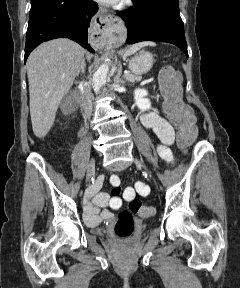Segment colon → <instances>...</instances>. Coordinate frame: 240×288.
Wrapping results in <instances>:
<instances>
[{
  "label": "colon",
  "instance_id": "colon-1",
  "mask_svg": "<svg viewBox=\"0 0 240 288\" xmlns=\"http://www.w3.org/2000/svg\"><path fill=\"white\" fill-rule=\"evenodd\" d=\"M181 77L172 67H164L159 74L160 92L163 98V110L170 122L178 129V141L181 146H189L195 139L196 130L191 109L181 99ZM129 201L128 212H123L115 225L119 237L129 236L134 229L131 214L148 218L155 213L154 208L144 205L131 193L126 194Z\"/></svg>",
  "mask_w": 240,
  "mask_h": 288
}]
</instances>
